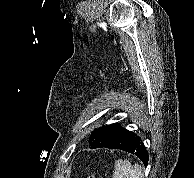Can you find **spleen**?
<instances>
[{
    "label": "spleen",
    "instance_id": "1",
    "mask_svg": "<svg viewBox=\"0 0 194 178\" xmlns=\"http://www.w3.org/2000/svg\"><path fill=\"white\" fill-rule=\"evenodd\" d=\"M113 178H143V168L136 163L134 166L127 160L118 159L114 163Z\"/></svg>",
    "mask_w": 194,
    "mask_h": 178
}]
</instances>
